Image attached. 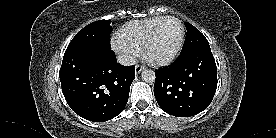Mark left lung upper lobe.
<instances>
[{"instance_id": "left-lung-upper-lobe-1", "label": "left lung upper lobe", "mask_w": 276, "mask_h": 138, "mask_svg": "<svg viewBox=\"0 0 276 138\" xmlns=\"http://www.w3.org/2000/svg\"><path fill=\"white\" fill-rule=\"evenodd\" d=\"M186 38L184 41V45L179 57H183L186 54L190 53L194 49L202 46H209V43L205 36L196 29L193 25L189 22H186Z\"/></svg>"}]
</instances>
